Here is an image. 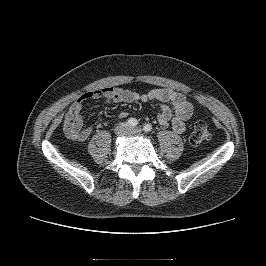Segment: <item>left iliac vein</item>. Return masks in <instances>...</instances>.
I'll return each mask as SVG.
<instances>
[{
  "instance_id": "1",
  "label": "left iliac vein",
  "mask_w": 266,
  "mask_h": 266,
  "mask_svg": "<svg viewBox=\"0 0 266 266\" xmlns=\"http://www.w3.org/2000/svg\"><path fill=\"white\" fill-rule=\"evenodd\" d=\"M143 132V130L141 128H128L127 130V134L129 135H136V134H141Z\"/></svg>"
}]
</instances>
